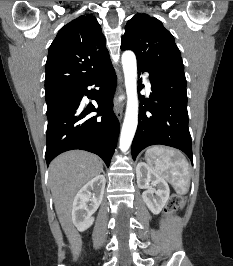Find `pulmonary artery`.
<instances>
[{
	"instance_id": "obj_1",
	"label": "pulmonary artery",
	"mask_w": 233,
	"mask_h": 266,
	"mask_svg": "<svg viewBox=\"0 0 233 266\" xmlns=\"http://www.w3.org/2000/svg\"><path fill=\"white\" fill-rule=\"evenodd\" d=\"M145 84L147 88H150V82L149 80L144 76Z\"/></svg>"
}]
</instances>
